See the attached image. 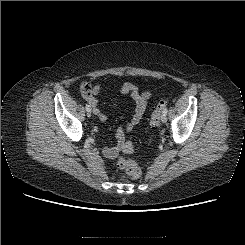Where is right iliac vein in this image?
Wrapping results in <instances>:
<instances>
[{
	"instance_id": "right-iliac-vein-1",
	"label": "right iliac vein",
	"mask_w": 245,
	"mask_h": 245,
	"mask_svg": "<svg viewBox=\"0 0 245 245\" xmlns=\"http://www.w3.org/2000/svg\"><path fill=\"white\" fill-rule=\"evenodd\" d=\"M87 116L91 117V110L87 111Z\"/></svg>"
}]
</instances>
